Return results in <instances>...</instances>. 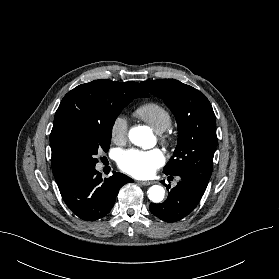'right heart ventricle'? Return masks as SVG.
I'll return each instance as SVG.
<instances>
[{
    "label": "right heart ventricle",
    "instance_id": "obj_1",
    "mask_svg": "<svg viewBox=\"0 0 279 279\" xmlns=\"http://www.w3.org/2000/svg\"><path fill=\"white\" fill-rule=\"evenodd\" d=\"M134 115L149 124L156 132H163L171 126V115L160 103L146 102L134 110Z\"/></svg>",
    "mask_w": 279,
    "mask_h": 279
}]
</instances>
